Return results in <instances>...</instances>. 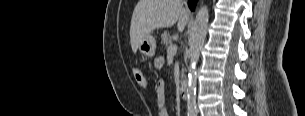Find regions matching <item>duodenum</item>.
<instances>
[{
	"label": "duodenum",
	"instance_id": "duodenum-1",
	"mask_svg": "<svg viewBox=\"0 0 305 116\" xmlns=\"http://www.w3.org/2000/svg\"><path fill=\"white\" fill-rule=\"evenodd\" d=\"M188 94V84L186 80H183L180 84L179 95L183 100H186Z\"/></svg>",
	"mask_w": 305,
	"mask_h": 116
}]
</instances>
